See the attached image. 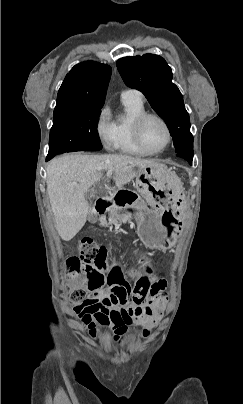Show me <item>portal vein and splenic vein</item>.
<instances>
[{
	"label": "portal vein and splenic vein",
	"mask_w": 243,
	"mask_h": 404,
	"mask_svg": "<svg viewBox=\"0 0 243 404\" xmlns=\"http://www.w3.org/2000/svg\"><path fill=\"white\" fill-rule=\"evenodd\" d=\"M108 176H111L112 174V170H109V172H107Z\"/></svg>",
	"instance_id": "obj_1"
}]
</instances>
